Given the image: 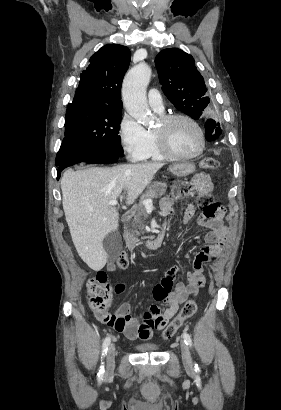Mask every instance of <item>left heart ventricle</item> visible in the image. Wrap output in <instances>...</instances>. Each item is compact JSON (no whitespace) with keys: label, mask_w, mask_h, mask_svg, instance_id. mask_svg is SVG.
<instances>
[{"label":"left heart ventricle","mask_w":281,"mask_h":410,"mask_svg":"<svg viewBox=\"0 0 281 410\" xmlns=\"http://www.w3.org/2000/svg\"><path fill=\"white\" fill-rule=\"evenodd\" d=\"M162 130L161 123L155 129ZM165 135L170 147L178 154L191 155L200 148L201 140L196 128L187 121L173 122L166 130Z\"/></svg>","instance_id":"b2bd125f"}]
</instances>
